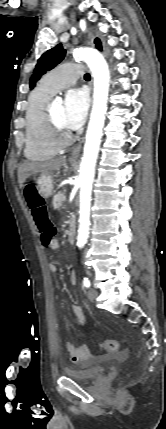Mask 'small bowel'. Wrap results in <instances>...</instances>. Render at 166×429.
<instances>
[{"instance_id": "c3829d8e", "label": "small bowel", "mask_w": 166, "mask_h": 429, "mask_svg": "<svg viewBox=\"0 0 166 429\" xmlns=\"http://www.w3.org/2000/svg\"><path fill=\"white\" fill-rule=\"evenodd\" d=\"M48 247L53 251L58 250L59 249L58 240L53 239L51 241V243L48 245ZM49 270L52 273H57L58 267L56 266L55 263H50L49 264ZM69 279H70V282L72 284H75L76 283V274L74 272H72L69 276ZM72 310H73L75 316L77 317L79 323L82 326H85L87 324V319H86V316H85L83 310L81 309V307L78 306L77 304H72ZM66 350L70 356L71 361L73 363L80 365V366H83V367L89 366V365L96 363V362H100L102 360L101 357L93 356L86 345L76 346L71 342H67L66 343Z\"/></svg>"}]
</instances>
